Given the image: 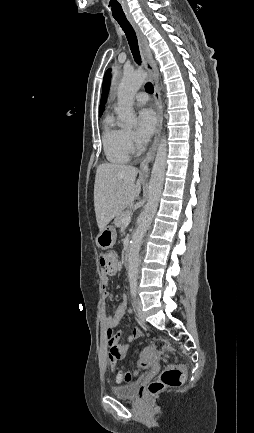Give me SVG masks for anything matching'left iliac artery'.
<instances>
[{"mask_svg":"<svg viewBox=\"0 0 254 433\" xmlns=\"http://www.w3.org/2000/svg\"><path fill=\"white\" fill-rule=\"evenodd\" d=\"M136 290H137V282L136 281H131L130 283V292L132 297L136 296Z\"/></svg>","mask_w":254,"mask_h":433,"instance_id":"1","label":"left iliac artery"}]
</instances>
